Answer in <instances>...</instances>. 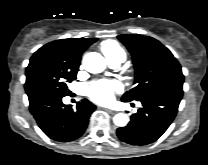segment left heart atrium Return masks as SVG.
Returning a JSON list of instances; mask_svg holds the SVG:
<instances>
[{"label":"left heart atrium","mask_w":208,"mask_h":165,"mask_svg":"<svg viewBox=\"0 0 208 165\" xmlns=\"http://www.w3.org/2000/svg\"><path fill=\"white\" fill-rule=\"evenodd\" d=\"M122 87L119 82L115 80H97L92 82L87 87V95L95 102L100 104L109 103L114 92L121 91Z\"/></svg>","instance_id":"39dd6f15"}]
</instances>
